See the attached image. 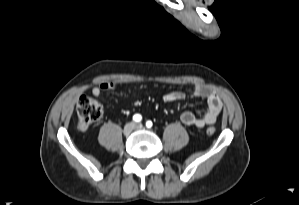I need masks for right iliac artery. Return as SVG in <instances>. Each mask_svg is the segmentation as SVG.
Wrapping results in <instances>:
<instances>
[{"label": "right iliac artery", "instance_id": "1", "mask_svg": "<svg viewBox=\"0 0 299 205\" xmlns=\"http://www.w3.org/2000/svg\"><path fill=\"white\" fill-rule=\"evenodd\" d=\"M133 120H134L135 122H140V121L142 120V116H141L140 114H135V115L133 116Z\"/></svg>", "mask_w": 299, "mask_h": 205}]
</instances>
